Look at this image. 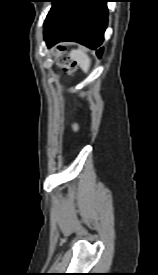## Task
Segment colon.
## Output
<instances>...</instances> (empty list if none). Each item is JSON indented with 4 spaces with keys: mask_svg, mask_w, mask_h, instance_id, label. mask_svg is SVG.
<instances>
[{
    "mask_svg": "<svg viewBox=\"0 0 158 275\" xmlns=\"http://www.w3.org/2000/svg\"><path fill=\"white\" fill-rule=\"evenodd\" d=\"M57 61L63 70L71 72L73 67L71 65V58L64 50H58L57 52Z\"/></svg>",
    "mask_w": 158,
    "mask_h": 275,
    "instance_id": "obj_1",
    "label": "colon"
}]
</instances>
